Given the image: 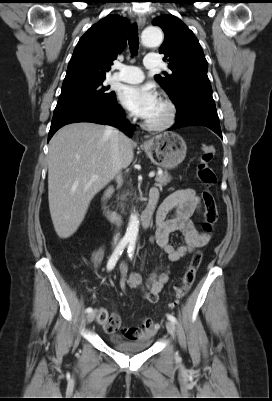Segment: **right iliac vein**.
Wrapping results in <instances>:
<instances>
[{"mask_svg": "<svg viewBox=\"0 0 272 401\" xmlns=\"http://www.w3.org/2000/svg\"><path fill=\"white\" fill-rule=\"evenodd\" d=\"M94 318H95V313L94 312L89 313L87 315V322L91 323L94 320Z\"/></svg>", "mask_w": 272, "mask_h": 401, "instance_id": "obj_1", "label": "right iliac vein"}]
</instances>
